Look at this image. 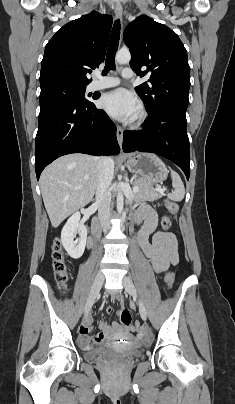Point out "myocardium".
<instances>
[{"instance_id": "obj_1", "label": "myocardium", "mask_w": 235, "mask_h": 404, "mask_svg": "<svg viewBox=\"0 0 235 404\" xmlns=\"http://www.w3.org/2000/svg\"><path fill=\"white\" fill-rule=\"evenodd\" d=\"M147 120V112L144 108H140L139 113L135 117L132 127L133 128H141Z\"/></svg>"}]
</instances>
